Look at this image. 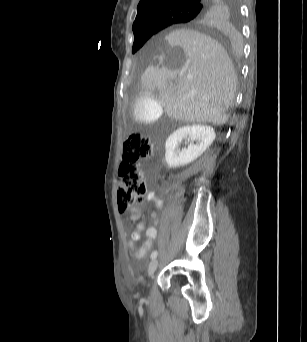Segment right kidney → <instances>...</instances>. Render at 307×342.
<instances>
[{"label": "right kidney", "instance_id": "ca27d5eb", "mask_svg": "<svg viewBox=\"0 0 307 342\" xmlns=\"http://www.w3.org/2000/svg\"><path fill=\"white\" fill-rule=\"evenodd\" d=\"M215 136L214 128L202 126V124L183 126V128L175 130L167 138L165 144V160L168 168H182V166H188V164L197 160L211 146ZM183 138H190L191 142L188 148H183L182 152H179L177 146L179 142H182Z\"/></svg>", "mask_w": 307, "mask_h": 342}]
</instances>
